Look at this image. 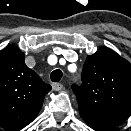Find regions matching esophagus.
Here are the masks:
<instances>
[{
    "label": "esophagus",
    "instance_id": "obj_1",
    "mask_svg": "<svg viewBox=\"0 0 131 131\" xmlns=\"http://www.w3.org/2000/svg\"><path fill=\"white\" fill-rule=\"evenodd\" d=\"M52 88H53V90H55V91H60V90H62L63 85H62L61 83H53V84H52Z\"/></svg>",
    "mask_w": 131,
    "mask_h": 131
}]
</instances>
